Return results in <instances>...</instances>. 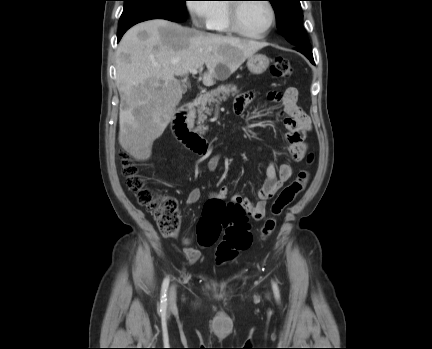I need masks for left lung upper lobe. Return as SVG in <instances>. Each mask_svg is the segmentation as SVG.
Segmentation results:
<instances>
[{
	"mask_svg": "<svg viewBox=\"0 0 432 349\" xmlns=\"http://www.w3.org/2000/svg\"><path fill=\"white\" fill-rule=\"evenodd\" d=\"M277 15V29L296 47L311 48L302 26L303 14L300 0H268Z\"/></svg>",
	"mask_w": 432,
	"mask_h": 349,
	"instance_id": "1",
	"label": "left lung upper lobe"
}]
</instances>
